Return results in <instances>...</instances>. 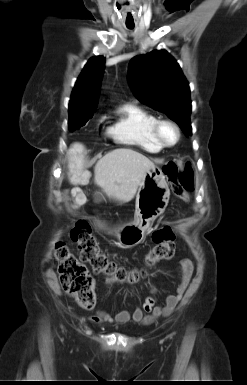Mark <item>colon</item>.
<instances>
[{
  "label": "colon",
  "mask_w": 247,
  "mask_h": 385,
  "mask_svg": "<svg viewBox=\"0 0 247 385\" xmlns=\"http://www.w3.org/2000/svg\"><path fill=\"white\" fill-rule=\"evenodd\" d=\"M164 173L173 193L188 199L195 187L191 165L186 163L183 167H178L176 163L168 162L164 166ZM70 237L78 244L80 257L71 253L64 243L58 242L55 249L58 274L63 290L84 309L94 307L96 294L94 279L83 263L90 264L95 274L104 275L116 282L134 283L147 274L146 271H129L111 260L101 250L86 221H78L72 228ZM152 240L155 245L145 257L147 268L170 260L175 254V235L168 225L155 230Z\"/></svg>",
  "instance_id": "5ec220e1"
}]
</instances>
